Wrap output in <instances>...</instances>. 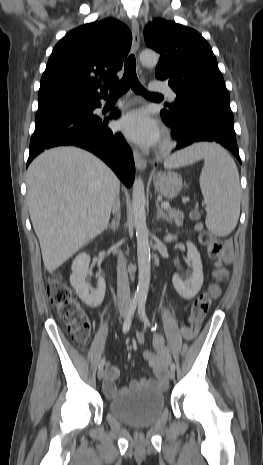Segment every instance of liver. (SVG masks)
I'll use <instances>...</instances> for the list:
<instances>
[{"instance_id": "obj_1", "label": "liver", "mask_w": 263, "mask_h": 465, "mask_svg": "<svg viewBox=\"0 0 263 465\" xmlns=\"http://www.w3.org/2000/svg\"><path fill=\"white\" fill-rule=\"evenodd\" d=\"M26 185L32 225L49 272L107 228L120 190L113 171L77 147H57L36 157Z\"/></svg>"}]
</instances>
